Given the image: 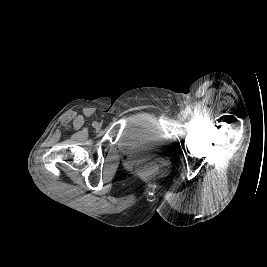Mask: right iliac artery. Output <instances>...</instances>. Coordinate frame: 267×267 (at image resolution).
I'll return each instance as SVG.
<instances>
[{
    "mask_svg": "<svg viewBox=\"0 0 267 267\" xmlns=\"http://www.w3.org/2000/svg\"><path fill=\"white\" fill-rule=\"evenodd\" d=\"M95 124H96V122H93V124H92V125H93V126H95Z\"/></svg>",
    "mask_w": 267,
    "mask_h": 267,
    "instance_id": "1",
    "label": "right iliac artery"
}]
</instances>
